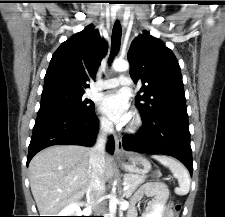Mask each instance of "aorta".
<instances>
[{
    "label": "aorta",
    "instance_id": "aorta-1",
    "mask_svg": "<svg viewBox=\"0 0 225 217\" xmlns=\"http://www.w3.org/2000/svg\"><path fill=\"white\" fill-rule=\"evenodd\" d=\"M112 67L115 71H118V72H123V71H126L128 70L129 68V64L128 62H126L125 60H115L112 64ZM116 199L115 198H112L110 200V203H109V208H110V212L111 214H114L115 213V210H116Z\"/></svg>",
    "mask_w": 225,
    "mask_h": 217
}]
</instances>
